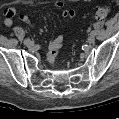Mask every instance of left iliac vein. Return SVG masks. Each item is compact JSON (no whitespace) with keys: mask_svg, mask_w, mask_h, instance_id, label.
<instances>
[{"mask_svg":"<svg viewBox=\"0 0 119 119\" xmlns=\"http://www.w3.org/2000/svg\"><path fill=\"white\" fill-rule=\"evenodd\" d=\"M94 41H95V36L94 35H90L87 39V42L90 43V44L94 43Z\"/></svg>","mask_w":119,"mask_h":119,"instance_id":"4c4485c4","label":"left iliac vein"}]
</instances>
